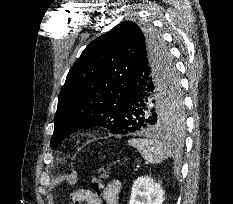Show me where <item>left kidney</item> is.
I'll return each mask as SVG.
<instances>
[{"mask_svg":"<svg viewBox=\"0 0 233 204\" xmlns=\"http://www.w3.org/2000/svg\"><path fill=\"white\" fill-rule=\"evenodd\" d=\"M164 190L151 177H138L132 186L129 204H162Z\"/></svg>","mask_w":233,"mask_h":204,"instance_id":"left-kidney-1","label":"left kidney"}]
</instances>
